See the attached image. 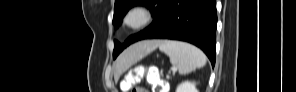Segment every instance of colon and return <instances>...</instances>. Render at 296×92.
<instances>
[{"label":"colon","instance_id":"5ec220e1","mask_svg":"<svg viewBox=\"0 0 296 92\" xmlns=\"http://www.w3.org/2000/svg\"><path fill=\"white\" fill-rule=\"evenodd\" d=\"M145 78L147 82L153 86L154 92H162L164 87V82L159 76V72L156 67H135L129 71L124 80L123 87L126 91L131 92H147L146 89L142 87H135L133 84L140 79Z\"/></svg>","mask_w":296,"mask_h":92}]
</instances>
